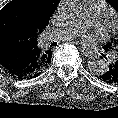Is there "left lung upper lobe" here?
<instances>
[{"instance_id": "left-lung-upper-lobe-1", "label": "left lung upper lobe", "mask_w": 118, "mask_h": 118, "mask_svg": "<svg viewBox=\"0 0 118 118\" xmlns=\"http://www.w3.org/2000/svg\"><path fill=\"white\" fill-rule=\"evenodd\" d=\"M107 2L110 5H112V7H114L117 10V12H118V0H107ZM104 49L106 51H109V50L115 51V54L118 57V40L114 44H111V43L106 44Z\"/></svg>"}]
</instances>
